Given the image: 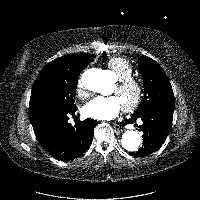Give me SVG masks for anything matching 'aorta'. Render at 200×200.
Listing matches in <instances>:
<instances>
[{
	"instance_id": "obj_1",
	"label": "aorta",
	"mask_w": 200,
	"mask_h": 200,
	"mask_svg": "<svg viewBox=\"0 0 200 200\" xmlns=\"http://www.w3.org/2000/svg\"><path fill=\"white\" fill-rule=\"evenodd\" d=\"M82 82L90 91L105 94L110 82L105 71L100 69H91L86 71L82 76ZM122 146L128 151H135L141 143V138L138 132L128 130L122 135Z\"/></svg>"
}]
</instances>
